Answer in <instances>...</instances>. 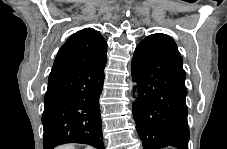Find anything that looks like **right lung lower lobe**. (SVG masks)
I'll use <instances>...</instances> for the list:
<instances>
[{"label":"right lung lower lobe","instance_id":"1","mask_svg":"<svg viewBox=\"0 0 227 149\" xmlns=\"http://www.w3.org/2000/svg\"><path fill=\"white\" fill-rule=\"evenodd\" d=\"M106 62L48 82L42 115L44 149L65 143L104 148L99 97Z\"/></svg>","mask_w":227,"mask_h":149}]
</instances>
